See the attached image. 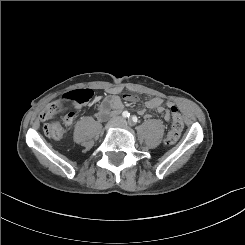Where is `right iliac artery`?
Segmentation results:
<instances>
[{"mask_svg": "<svg viewBox=\"0 0 245 245\" xmlns=\"http://www.w3.org/2000/svg\"><path fill=\"white\" fill-rule=\"evenodd\" d=\"M122 116H123V118H129L130 113H129L128 111H124V112L122 113Z\"/></svg>", "mask_w": 245, "mask_h": 245, "instance_id": "82829eb1", "label": "right iliac artery"}]
</instances>
